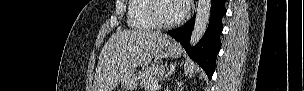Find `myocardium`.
Wrapping results in <instances>:
<instances>
[{
  "mask_svg": "<svg viewBox=\"0 0 304 91\" xmlns=\"http://www.w3.org/2000/svg\"><path fill=\"white\" fill-rule=\"evenodd\" d=\"M161 1H167V0H150L149 3V15L152 21L155 23V25L159 28L165 29V28H172L181 24L186 17L187 11L183 12L179 18L173 21H164L159 17L158 14V4Z\"/></svg>",
  "mask_w": 304,
  "mask_h": 91,
  "instance_id": "obj_1",
  "label": "myocardium"
}]
</instances>
